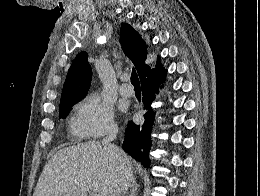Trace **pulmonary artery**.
Listing matches in <instances>:
<instances>
[{"label":"pulmonary artery","mask_w":260,"mask_h":196,"mask_svg":"<svg viewBox=\"0 0 260 196\" xmlns=\"http://www.w3.org/2000/svg\"><path fill=\"white\" fill-rule=\"evenodd\" d=\"M119 92L123 97H131L134 94V89L131 86L122 85Z\"/></svg>","instance_id":"obj_1"}]
</instances>
